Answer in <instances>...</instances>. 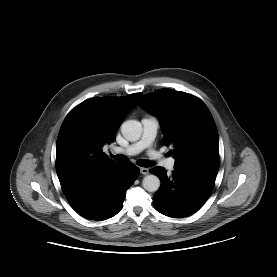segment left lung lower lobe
I'll list each match as a JSON object with an SVG mask.
<instances>
[{
    "label": "left lung lower lobe",
    "instance_id": "obj_1",
    "mask_svg": "<svg viewBox=\"0 0 277 277\" xmlns=\"http://www.w3.org/2000/svg\"><path fill=\"white\" fill-rule=\"evenodd\" d=\"M217 172L209 169H175L173 175L168 177L164 168H152L151 173L161 181V187L153 197L156 210L174 218L195 213L209 198Z\"/></svg>",
    "mask_w": 277,
    "mask_h": 277
}]
</instances>
